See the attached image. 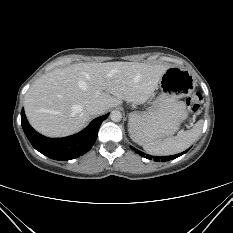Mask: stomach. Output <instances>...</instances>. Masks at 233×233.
Returning a JSON list of instances; mask_svg holds the SVG:
<instances>
[{
  "label": "stomach",
  "instance_id": "obj_1",
  "mask_svg": "<svg viewBox=\"0 0 233 233\" xmlns=\"http://www.w3.org/2000/svg\"><path fill=\"white\" fill-rule=\"evenodd\" d=\"M194 87V78L188 70L169 67L159 82V96L146 110L130 113V131L149 143L175 134L188 117L186 104L180 99L192 93Z\"/></svg>",
  "mask_w": 233,
  "mask_h": 233
}]
</instances>
